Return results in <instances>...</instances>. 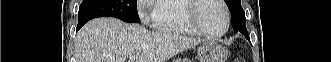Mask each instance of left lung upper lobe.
Returning <instances> with one entry per match:
<instances>
[{"label": "left lung upper lobe", "instance_id": "1", "mask_svg": "<svg viewBox=\"0 0 331 62\" xmlns=\"http://www.w3.org/2000/svg\"><path fill=\"white\" fill-rule=\"evenodd\" d=\"M227 4L229 11L231 13L232 22H235L237 25H240L246 31V18L244 10L241 6V0H224Z\"/></svg>", "mask_w": 331, "mask_h": 62}]
</instances>
